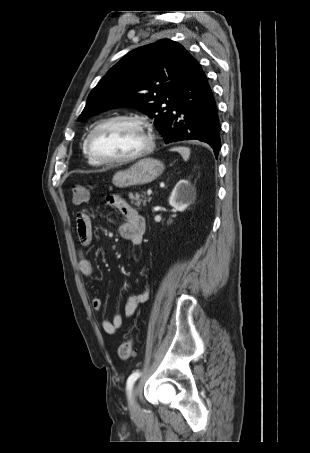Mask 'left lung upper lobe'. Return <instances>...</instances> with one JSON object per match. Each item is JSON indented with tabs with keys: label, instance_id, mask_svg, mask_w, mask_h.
Listing matches in <instances>:
<instances>
[{
	"label": "left lung upper lobe",
	"instance_id": "obj_1",
	"mask_svg": "<svg viewBox=\"0 0 310 453\" xmlns=\"http://www.w3.org/2000/svg\"><path fill=\"white\" fill-rule=\"evenodd\" d=\"M191 58L182 45L169 39L129 52L90 92L78 120L131 105L155 118L161 132L186 79Z\"/></svg>",
	"mask_w": 310,
	"mask_h": 453
}]
</instances>
